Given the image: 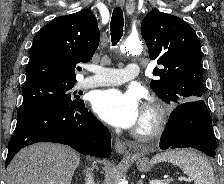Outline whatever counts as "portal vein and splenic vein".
I'll list each match as a JSON object with an SVG mask.
<instances>
[{
    "label": "portal vein and splenic vein",
    "mask_w": 224,
    "mask_h": 184,
    "mask_svg": "<svg viewBox=\"0 0 224 184\" xmlns=\"http://www.w3.org/2000/svg\"><path fill=\"white\" fill-rule=\"evenodd\" d=\"M172 179H166V180H151L149 184H168Z\"/></svg>",
    "instance_id": "portal-vein-and-splenic-vein-1"
}]
</instances>
